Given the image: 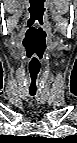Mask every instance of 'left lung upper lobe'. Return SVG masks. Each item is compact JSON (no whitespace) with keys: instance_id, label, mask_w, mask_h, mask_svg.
I'll return each instance as SVG.
<instances>
[{"instance_id":"left-lung-upper-lobe-1","label":"left lung upper lobe","mask_w":77,"mask_h":143,"mask_svg":"<svg viewBox=\"0 0 77 143\" xmlns=\"http://www.w3.org/2000/svg\"><path fill=\"white\" fill-rule=\"evenodd\" d=\"M72 136H69V137H67L66 139H68V138H71Z\"/></svg>"}]
</instances>
